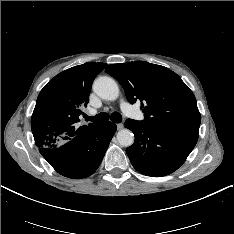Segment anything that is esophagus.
<instances>
[{
  "label": "esophagus",
  "instance_id": "34e87169",
  "mask_svg": "<svg viewBox=\"0 0 234 234\" xmlns=\"http://www.w3.org/2000/svg\"><path fill=\"white\" fill-rule=\"evenodd\" d=\"M124 128V125L122 123L117 124V129L121 130Z\"/></svg>",
  "mask_w": 234,
  "mask_h": 234
}]
</instances>
